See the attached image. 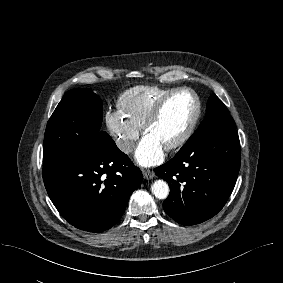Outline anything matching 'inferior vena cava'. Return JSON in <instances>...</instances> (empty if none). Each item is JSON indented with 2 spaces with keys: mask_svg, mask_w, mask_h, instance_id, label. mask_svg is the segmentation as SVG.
Segmentation results:
<instances>
[{
  "mask_svg": "<svg viewBox=\"0 0 283 283\" xmlns=\"http://www.w3.org/2000/svg\"><path fill=\"white\" fill-rule=\"evenodd\" d=\"M118 146L125 153H131L134 149L133 143L127 140L118 142Z\"/></svg>",
  "mask_w": 283,
  "mask_h": 283,
  "instance_id": "1",
  "label": "inferior vena cava"
}]
</instances>
